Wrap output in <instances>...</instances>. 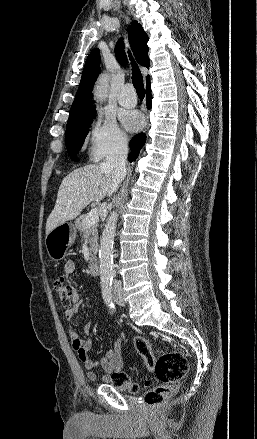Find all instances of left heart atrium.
<instances>
[{
    "instance_id": "39dd6f15",
    "label": "left heart atrium",
    "mask_w": 257,
    "mask_h": 439,
    "mask_svg": "<svg viewBox=\"0 0 257 439\" xmlns=\"http://www.w3.org/2000/svg\"><path fill=\"white\" fill-rule=\"evenodd\" d=\"M122 120L125 126L130 130L138 129L142 123V117L135 112L124 114Z\"/></svg>"
}]
</instances>
